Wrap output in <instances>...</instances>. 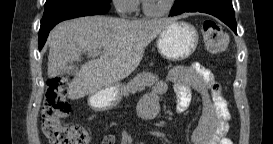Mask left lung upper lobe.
<instances>
[{
    "label": "left lung upper lobe",
    "mask_w": 273,
    "mask_h": 144,
    "mask_svg": "<svg viewBox=\"0 0 273 144\" xmlns=\"http://www.w3.org/2000/svg\"><path fill=\"white\" fill-rule=\"evenodd\" d=\"M183 0H175V4L181 3Z\"/></svg>",
    "instance_id": "1"
}]
</instances>
